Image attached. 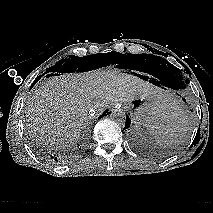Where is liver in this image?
<instances>
[{"mask_svg":"<svg viewBox=\"0 0 213 213\" xmlns=\"http://www.w3.org/2000/svg\"><path fill=\"white\" fill-rule=\"evenodd\" d=\"M152 99L161 106L170 95L161 88L130 74L95 70L52 77L34 91L27 109L36 136L44 143L64 147L80 135L92 119L117 103Z\"/></svg>","mask_w":213,"mask_h":213,"instance_id":"6515ba94","label":"liver"}]
</instances>
